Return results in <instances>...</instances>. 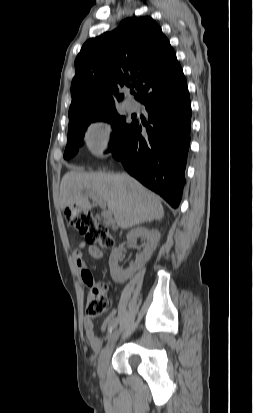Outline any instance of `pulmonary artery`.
<instances>
[{
  "mask_svg": "<svg viewBox=\"0 0 253 413\" xmlns=\"http://www.w3.org/2000/svg\"><path fill=\"white\" fill-rule=\"evenodd\" d=\"M125 106H126L127 110L130 111V112H134L139 108V104L136 101L132 100V99L126 100Z\"/></svg>",
  "mask_w": 253,
  "mask_h": 413,
  "instance_id": "pulmonary-artery-1",
  "label": "pulmonary artery"
}]
</instances>
